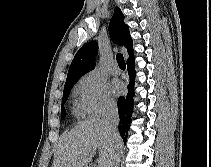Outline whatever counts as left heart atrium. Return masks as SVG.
<instances>
[{"label":"left heart atrium","instance_id":"left-heart-atrium-1","mask_svg":"<svg viewBox=\"0 0 211 167\" xmlns=\"http://www.w3.org/2000/svg\"><path fill=\"white\" fill-rule=\"evenodd\" d=\"M109 90L111 91V93H113L114 95H119L122 93L123 91V85L119 80H112L109 83Z\"/></svg>","mask_w":211,"mask_h":167}]
</instances>
